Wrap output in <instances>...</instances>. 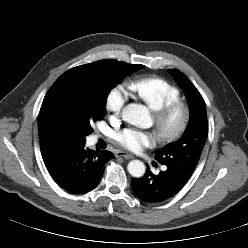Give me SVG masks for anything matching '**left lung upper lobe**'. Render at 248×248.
<instances>
[{
  "mask_svg": "<svg viewBox=\"0 0 248 248\" xmlns=\"http://www.w3.org/2000/svg\"><path fill=\"white\" fill-rule=\"evenodd\" d=\"M184 90L190 107V121L183 136L156 152L155 159L188 181L200 159L208 136L205 101L192 82L179 70L169 69Z\"/></svg>",
  "mask_w": 248,
  "mask_h": 248,
  "instance_id": "obj_1",
  "label": "left lung upper lobe"
}]
</instances>
